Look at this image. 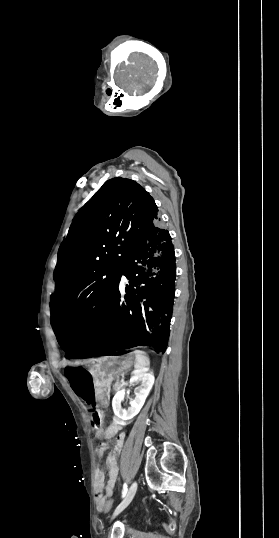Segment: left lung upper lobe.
Returning <instances> with one entry per match:
<instances>
[{"label": "left lung upper lobe", "instance_id": "obj_1", "mask_svg": "<svg viewBox=\"0 0 279 538\" xmlns=\"http://www.w3.org/2000/svg\"><path fill=\"white\" fill-rule=\"evenodd\" d=\"M158 209L149 193L133 180L113 178L74 218L58 251L51 324L88 335L102 318L120 281L124 264Z\"/></svg>", "mask_w": 279, "mask_h": 538}]
</instances>
